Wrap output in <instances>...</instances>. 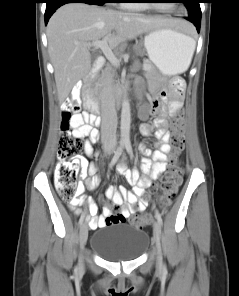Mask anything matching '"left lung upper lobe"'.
<instances>
[{
    "mask_svg": "<svg viewBox=\"0 0 239 296\" xmlns=\"http://www.w3.org/2000/svg\"><path fill=\"white\" fill-rule=\"evenodd\" d=\"M188 9V16L201 19L200 0H182Z\"/></svg>",
    "mask_w": 239,
    "mask_h": 296,
    "instance_id": "obj_1",
    "label": "left lung upper lobe"
}]
</instances>
